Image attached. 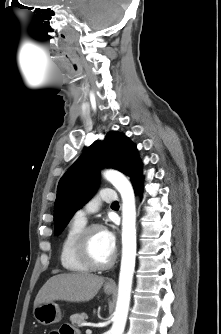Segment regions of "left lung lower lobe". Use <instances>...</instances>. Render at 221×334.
Listing matches in <instances>:
<instances>
[{"mask_svg":"<svg viewBox=\"0 0 221 334\" xmlns=\"http://www.w3.org/2000/svg\"><path fill=\"white\" fill-rule=\"evenodd\" d=\"M131 182H132L135 192H138L139 194H141L142 183H143V175H142L141 170L137 172V174L132 178Z\"/></svg>","mask_w":221,"mask_h":334,"instance_id":"0a47b994","label":"left lung lower lobe"}]
</instances>
